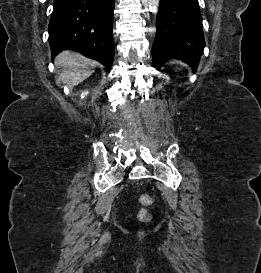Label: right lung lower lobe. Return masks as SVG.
I'll return each mask as SVG.
<instances>
[{"instance_id":"obj_1","label":"right lung lower lobe","mask_w":261,"mask_h":273,"mask_svg":"<svg viewBox=\"0 0 261 273\" xmlns=\"http://www.w3.org/2000/svg\"><path fill=\"white\" fill-rule=\"evenodd\" d=\"M115 0H54L49 22L52 57L71 49L101 62L107 72L114 58Z\"/></svg>"}]
</instances>
